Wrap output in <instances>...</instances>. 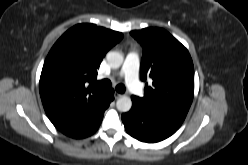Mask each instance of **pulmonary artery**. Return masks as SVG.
I'll use <instances>...</instances> for the list:
<instances>
[{
    "instance_id": "pulmonary-artery-1",
    "label": "pulmonary artery",
    "mask_w": 248,
    "mask_h": 165,
    "mask_svg": "<svg viewBox=\"0 0 248 165\" xmlns=\"http://www.w3.org/2000/svg\"><path fill=\"white\" fill-rule=\"evenodd\" d=\"M139 62V53L136 51H132L127 55L120 71V74L125 77L128 88L136 96H141L143 94V89L138 79Z\"/></svg>"
}]
</instances>
